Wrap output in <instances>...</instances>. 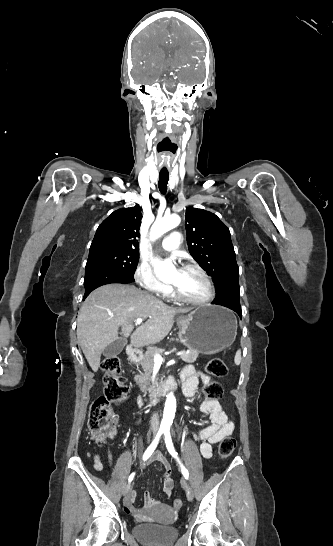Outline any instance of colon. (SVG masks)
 <instances>
[{
  "label": "colon",
  "instance_id": "1",
  "mask_svg": "<svg viewBox=\"0 0 333 546\" xmlns=\"http://www.w3.org/2000/svg\"><path fill=\"white\" fill-rule=\"evenodd\" d=\"M104 371L105 392L104 396L97 398L89 411L88 426L92 438L100 442L112 435L118 425V420L112 410V405L122 402L128 395V387L124 378L120 376V361L116 356L106 357L101 364ZM206 371L213 377H225L228 374L226 363L219 358H214L206 364ZM206 400H217L222 396L221 386L212 381L204 387ZM236 448V439L230 435L224 437L218 447L220 457H229ZM175 509L183 507V501L176 499L173 503Z\"/></svg>",
  "mask_w": 333,
  "mask_h": 546
}]
</instances>
